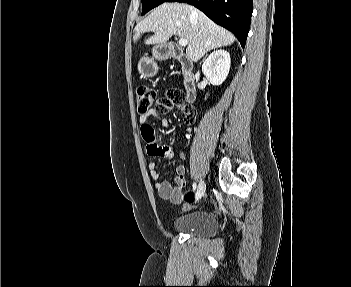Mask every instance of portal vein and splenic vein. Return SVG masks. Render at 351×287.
<instances>
[{
	"instance_id": "obj_1",
	"label": "portal vein and splenic vein",
	"mask_w": 351,
	"mask_h": 287,
	"mask_svg": "<svg viewBox=\"0 0 351 287\" xmlns=\"http://www.w3.org/2000/svg\"><path fill=\"white\" fill-rule=\"evenodd\" d=\"M187 44H188V40L187 39H185V38H180L179 39V45L181 47H185V46H187Z\"/></svg>"
}]
</instances>
